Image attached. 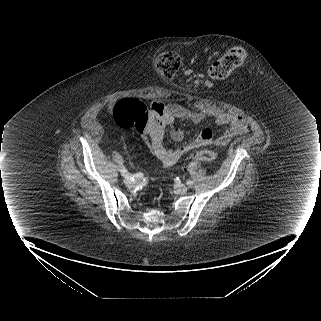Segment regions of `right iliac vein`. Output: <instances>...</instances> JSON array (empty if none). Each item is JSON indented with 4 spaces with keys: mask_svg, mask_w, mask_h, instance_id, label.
Segmentation results:
<instances>
[{
    "mask_svg": "<svg viewBox=\"0 0 321 321\" xmlns=\"http://www.w3.org/2000/svg\"><path fill=\"white\" fill-rule=\"evenodd\" d=\"M124 182L127 186H131L133 184V181L130 179H125Z\"/></svg>",
    "mask_w": 321,
    "mask_h": 321,
    "instance_id": "right-iliac-vein-1",
    "label": "right iliac vein"
}]
</instances>
